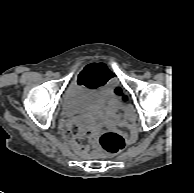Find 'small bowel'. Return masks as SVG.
I'll use <instances>...</instances> for the list:
<instances>
[{
	"label": "small bowel",
	"instance_id": "obj_1",
	"mask_svg": "<svg viewBox=\"0 0 194 193\" xmlns=\"http://www.w3.org/2000/svg\"><path fill=\"white\" fill-rule=\"evenodd\" d=\"M89 71H101V72L108 73V72H111V67H109L106 64H96V65L87 66L80 73L79 78H78V83H83V84L86 85L85 77H86V73L89 72ZM90 85H91V88H92V93L96 95V89H97L98 85L97 84H90ZM83 104H85V101L80 103V104H78V105L81 106ZM87 104H90V105H87ZM112 106H113L112 104H108L106 106V114L107 115L110 114ZM84 109H87V110H89L91 112H96L97 111V105L95 103H93V95L92 94L89 95L88 102L84 105ZM124 111H125L126 114H130L131 113V110L128 109V108H125ZM71 114H72V111L69 113V115H71ZM65 126H66L67 129H69V127H70V120L67 121ZM81 136H82V133L78 134L73 139V143L76 146H80L81 145Z\"/></svg>",
	"mask_w": 194,
	"mask_h": 193
}]
</instances>
